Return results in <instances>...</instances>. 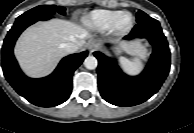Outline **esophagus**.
<instances>
[{
	"mask_svg": "<svg viewBox=\"0 0 194 133\" xmlns=\"http://www.w3.org/2000/svg\"><path fill=\"white\" fill-rule=\"evenodd\" d=\"M98 48H99V44L97 42L90 41L88 43V49H89L90 53L96 51Z\"/></svg>",
	"mask_w": 194,
	"mask_h": 133,
	"instance_id": "1",
	"label": "esophagus"
}]
</instances>
